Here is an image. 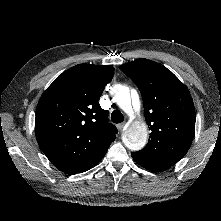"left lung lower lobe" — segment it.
Instances as JSON below:
<instances>
[{"label": "left lung lower lobe", "instance_id": "0a47b994", "mask_svg": "<svg viewBox=\"0 0 221 221\" xmlns=\"http://www.w3.org/2000/svg\"><path fill=\"white\" fill-rule=\"evenodd\" d=\"M131 156L140 166H142L148 170H151V171H164V170L171 167L167 164L141 157V156L135 154L134 152L131 153Z\"/></svg>", "mask_w": 221, "mask_h": 221}]
</instances>
